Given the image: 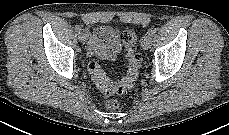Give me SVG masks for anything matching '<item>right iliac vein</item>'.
Wrapping results in <instances>:
<instances>
[{"label": "right iliac vein", "instance_id": "obj_1", "mask_svg": "<svg viewBox=\"0 0 229 135\" xmlns=\"http://www.w3.org/2000/svg\"><path fill=\"white\" fill-rule=\"evenodd\" d=\"M89 38V33L88 31L86 30H83L81 32H79V35H78V39L81 41V42H86Z\"/></svg>", "mask_w": 229, "mask_h": 135}]
</instances>
